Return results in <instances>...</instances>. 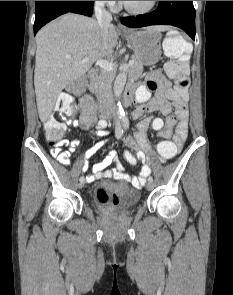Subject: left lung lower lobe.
I'll list each match as a JSON object with an SVG mask.
<instances>
[{
    "mask_svg": "<svg viewBox=\"0 0 233 295\" xmlns=\"http://www.w3.org/2000/svg\"><path fill=\"white\" fill-rule=\"evenodd\" d=\"M121 23L127 27H145L168 24L183 29L195 40V9L193 1H159L157 9L136 17H123Z\"/></svg>",
    "mask_w": 233,
    "mask_h": 295,
    "instance_id": "1",
    "label": "left lung lower lobe"
}]
</instances>
